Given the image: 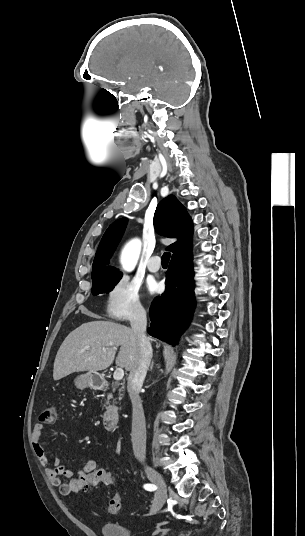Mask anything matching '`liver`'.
Here are the masks:
<instances>
[{
	"instance_id": "liver-1",
	"label": "liver",
	"mask_w": 305,
	"mask_h": 536,
	"mask_svg": "<svg viewBox=\"0 0 305 536\" xmlns=\"http://www.w3.org/2000/svg\"><path fill=\"white\" fill-rule=\"evenodd\" d=\"M93 318H99L91 314ZM89 346V350H84ZM130 372L139 360V342L131 328L113 322H87L73 330L61 344L55 358L53 378L61 380L73 372H98L114 362ZM103 348H107L103 352Z\"/></svg>"
}]
</instances>
